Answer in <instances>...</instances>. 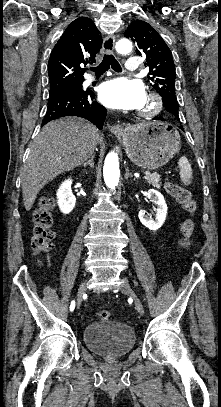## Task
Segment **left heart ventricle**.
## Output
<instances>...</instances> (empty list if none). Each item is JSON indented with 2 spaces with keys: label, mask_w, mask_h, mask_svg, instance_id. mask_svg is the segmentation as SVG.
I'll use <instances>...</instances> for the list:
<instances>
[{
  "label": "left heart ventricle",
  "mask_w": 221,
  "mask_h": 407,
  "mask_svg": "<svg viewBox=\"0 0 221 407\" xmlns=\"http://www.w3.org/2000/svg\"><path fill=\"white\" fill-rule=\"evenodd\" d=\"M146 104H147V103H146V100H145V103H144V105L142 106V108H144V107L146 106Z\"/></svg>",
  "instance_id": "1"
}]
</instances>
